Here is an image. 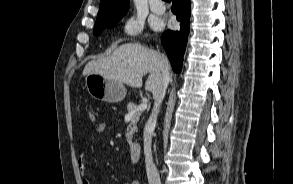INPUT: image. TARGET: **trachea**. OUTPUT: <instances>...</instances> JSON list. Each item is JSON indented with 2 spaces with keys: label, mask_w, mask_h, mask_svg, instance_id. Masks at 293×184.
Returning <instances> with one entry per match:
<instances>
[{
  "label": "trachea",
  "mask_w": 293,
  "mask_h": 184,
  "mask_svg": "<svg viewBox=\"0 0 293 184\" xmlns=\"http://www.w3.org/2000/svg\"><path fill=\"white\" fill-rule=\"evenodd\" d=\"M164 1H166V2H170V0H164Z\"/></svg>",
  "instance_id": "trachea-1"
}]
</instances>
